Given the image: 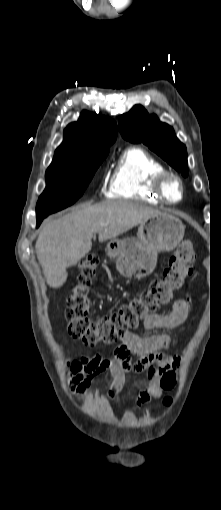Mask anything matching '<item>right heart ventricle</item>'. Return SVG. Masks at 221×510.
<instances>
[{"mask_svg":"<svg viewBox=\"0 0 221 510\" xmlns=\"http://www.w3.org/2000/svg\"><path fill=\"white\" fill-rule=\"evenodd\" d=\"M163 163L140 147H129L119 157L110 177L107 197L159 203L152 190L154 177L165 171Z\"/></svg>","mask_w":221,"mask_h":510,"instance_id":"e07e8e85","label":"right heart ventricle"}]
</instances>
